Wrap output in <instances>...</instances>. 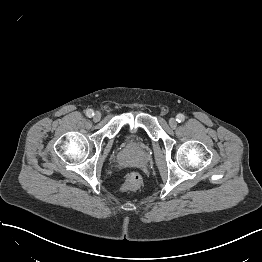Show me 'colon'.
Segmentation results:
<instances>
[{"label": "colon", "instance_id": "colon-1", "mask_svg": "<svg viewBox=\"0 0 262 262\" xmlns=\"http://www.w3.org/2000/svg\"><path fill=\"white\" fill-rule=\"evenodd\" d=\"M141 177L136 172H132L128 175L124 185L122 186L123 191H135L141 186Z\"/></svg>", "mask_w": 262, "mask_h": 262}]
</instances>
